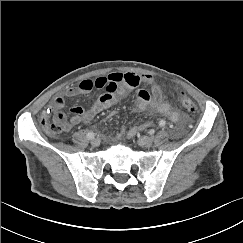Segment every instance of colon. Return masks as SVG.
Returning a JSON list of instances; mask_svg holds the SVG:
<instances>
[{
    "instance_id": "1",
    "label": "colon",
    "mask_w": 243,
    "mask_h": 243,
    "mask_svg": "<svg viewBox=\"0 0 243 243\" xmlns=\"http://www.w3.org/2000/svg\"><path fill=\"white\" fill-rule=\"evenodd\" d=\"M177 101L186 111L194 112L196 110L194 102L182 91L177 92ZM41 124L52 135H59L66 131V121L61 112H57L53 116L51 113L43 114Z\"/></svg>"
}]
</instances>
